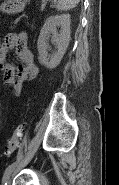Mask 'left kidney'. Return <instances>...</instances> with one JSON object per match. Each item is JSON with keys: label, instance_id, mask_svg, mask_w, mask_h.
I'll list each match as a JSON object with an SVG mask.
<instances>
[{"label": "left kidney", "instance_id": "1", "mask_svg": "<svg viewBox=\"0 0 119 185\" xmlns=\"http://www.w3.org/2000/svg\"><path fill=\"white\" fill-rule=\"evenodd\" d=\"M60 27V33L57 28ZM52 34L51 42L57 46V51L48 53L47 40ZM70 41V15L50 16L46 19L37 41L39 62L48 69L56 68L61 62Z\"/></svg>", "mask_w": 119, "mask_h": 185}]
</instances>
